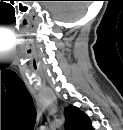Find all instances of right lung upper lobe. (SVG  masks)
I'll return each mask as SVG.
<instances>
[{"label": "right lung upper lobe", "instance_id": "1", "mask_svg": "<svg viewBox=\"0 0 123 130\" xmlns=\"http://www.w3.org/2000/svg\"><path fill=\"white\" fill-rule=\"evenodd\" d=\"M64 114L66 119V130H93L87 115H85L77 107L73 105L65 107Z\"/></svg>", "mask_w": 123, "mask_h": 130}]
</instances>
